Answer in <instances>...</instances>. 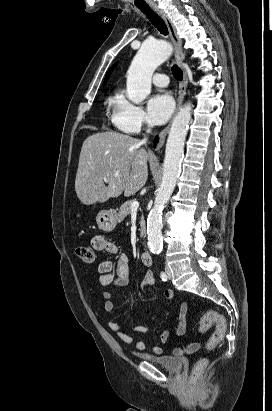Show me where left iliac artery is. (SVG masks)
I'll return each mask as SVG.
<instances>
[{
    "mask_svg": "<svg viewBox=\"0 0 272 411\" xmlns=\"http://www.w3.org/2000/svg\"><path fill=\"white\" fill-rule=\"evenodd\" d=\"M160 277H161V279H162L163 281H166V280H167V275H166L165 272H161Z\"/></svg>",
    "mask_w": 272,
    "mask_h": 411,
    "instance_id": "obj_1",
    "label": "left iliac artery"
}]
</instances>
